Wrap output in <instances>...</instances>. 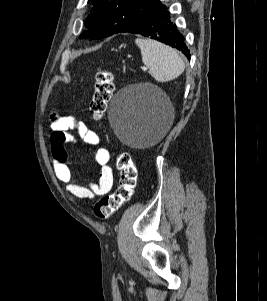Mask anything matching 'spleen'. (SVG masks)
Wrapping results in <instances>:
<instances>
[{
	"label": "spleen",
	"instance_id": "obj_1",
	"mask_svg": "<svg viewBox=\"0 0 267 301\" xmlns=\"http://www.w3.org/2000/svg\"><path fill=\"white\" fill-rule=\"evenodd\" d=\"M135 43L141 50L142 62L156 81H171L184 72V62L173 48L150 39L139 38Z\"/></svg>",
	"mask_w": 267,
	"mask_h": 301
}]
</instances>
